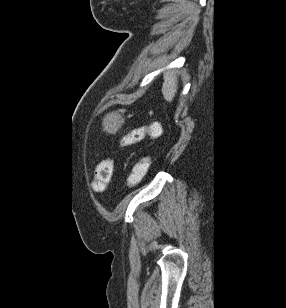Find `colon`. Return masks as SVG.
<instances>
[{
    "label": "colon",
    "instance_id": "1",
    "mask_svg": "<svg viewBox=\"0 0 286 308\" xmlns=\"http://www.w3.org/2000/svg\"><path fill=\"white\" fill-rule=\"evenodd\" d=\"M160 133L159 123L148 126L137 127L129 131L121 140L122 146H131L145 139L146 136H156ZM150 165V158L143 156L132 166L125 185L127 188H134L145 178ZM114 160L105 158L99 162L95 171V180L92 187L96 191H104L112 180Z\"/></svg>",
    "mask_w": 286,
    "mask_h": 308
}]
</instances>
